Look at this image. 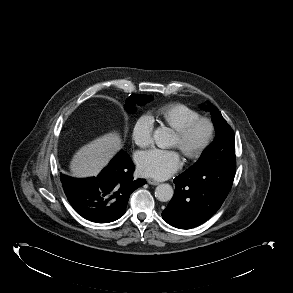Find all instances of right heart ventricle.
<instances>
[{
	"label": "right heart ventricle",
	"instance_id": "obj_1",
	"mask_svg": "<svg viewBox=\"0 0 293 293\" xmlns=\"http://www.w3.org/2000/svg\"><path fill=\"white\" fill-rule=\"evenodd\" d=\"M158 116L175 131L200 117L196 110L181 103L170 104L159 109Z\"/></svg>",
	"mask_w": 293,
	"mask_h": 293
}]
</instances>
